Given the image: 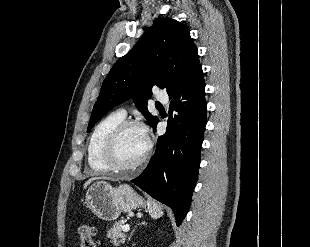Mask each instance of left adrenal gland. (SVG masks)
<instances>
[{
  "label": "left adrenal gland",
  "mask_w": 310,
  "mask_h": 247,
  "mask_svg": "<svg viewBox=\"0 0 310 247\" xmlns=\"http://www.w3.org/2000/svg\"><path fill=\"white\" fill-rule=\"evenodd\" d=\"M141 224H146V223H145V222H142ZM135 228H136V226H135ZM135 228L132 230V232H131V234H130V236H129V238H128V241L131 240V237H132V235H133V233H134V231H135Z\"/></svg>",
  "instance_id": "1"
}]
</instances>
